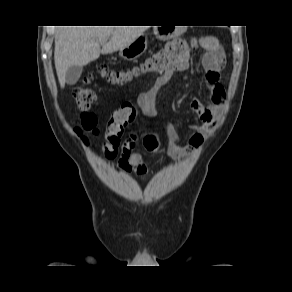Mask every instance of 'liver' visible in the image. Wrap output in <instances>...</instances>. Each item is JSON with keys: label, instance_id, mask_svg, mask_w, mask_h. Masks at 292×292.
Listing matches in <instances>:
<instances>
[{"label": "liver", "instance_id": "obj_1", "mask_svg": "<svg viewBox=\"0 0 292 292\" xmlns=\"http://www.w3.org/2000/svg\"><path fill=\"white\" fill-rule=\"evenodd\" d=\"M146 30L144 26H60L55 34L54 61L61 88L71 66H85L133 43ZM102 49L101 43L108 39Z\"/></svg>", "mask_w": 292, "mask_h": 292}]
</instances>
